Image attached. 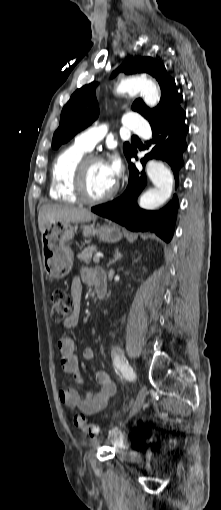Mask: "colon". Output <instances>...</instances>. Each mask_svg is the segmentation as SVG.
<instances>
[{"mask_svg": "<svg viewBox=\"0 0 221 510\" xmlns=\"http://www.w3.org/2000/svg\"><path fill=\"white\" fill-rule=\"evenodd\" d=\"M74 307V301L72 296L63 289H55L51 295V318L60 322L69 316ZM74 425L81 429L90 437H96L100 434L101 430L98 426L87 422L85 416L80 413H76L73 416Z\"/></svg>", "mask_w": 221, "mask_h": 510, "instance_id": "5ec220e1", "label": "colon"}]
</instances>
